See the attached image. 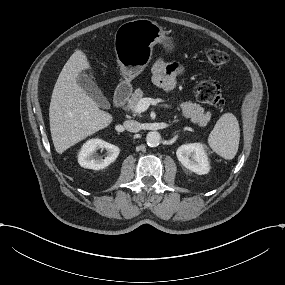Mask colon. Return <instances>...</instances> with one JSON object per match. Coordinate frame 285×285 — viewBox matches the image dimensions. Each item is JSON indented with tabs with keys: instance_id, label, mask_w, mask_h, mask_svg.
I'll return each mask as SVG.
<instances>
[{
	"instance_id": "1",
	"label": "colon",
	"mask_w": 285,
	"mask_h": 285,
	"mask_svg": "<svg viewBox=\"0 0 285 285\" xmlns=\"http://www.w3.org/2000/svg\"><path fill=\"white\" fill-rule=\"evenodd\" d=\"M206 60L210 66L218 68L227 62L228 55L220 49L210 48L206 51ZM194 93L198 101L216 108H223L226 104L220 85L212 79L200 80Z\"/></svg>"
}]
</instances>
